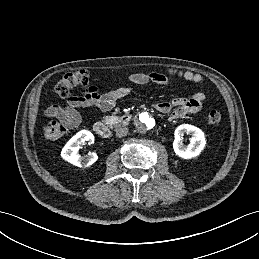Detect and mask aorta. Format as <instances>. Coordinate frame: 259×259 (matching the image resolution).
<instances>
[{
	"instance_id": "aorta-1",
	"label": "aorta",
	"mask_w": 259,
	"mask_h": 259,
	"mask_svg": "<svg viewBox=\"0 0 259 259\" xmlns=\"http://www.w3.org/2000/svg\"><path fill=\"white\" fill-rule=\"evenodd\" d=\"M136 125L141 129H150L155 125V120L150 113L144 112L138 116Z\"/></svg>"
}]
</instances>
